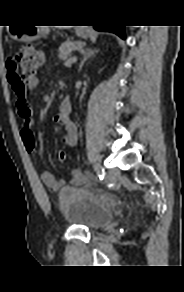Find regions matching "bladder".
I'll return each mask as SVG.
<instances>
[{
    "label": "bladder",
    "mask_w": 184,
    "mask_h": 292,
    "mask_svg": "<svg viewBox=\"0 0 184 292\" xmlns=\"http://www.w3.org/2000/svg\"><path fill=\"white\" fill-rule=\"evenodd\" d=\"M58 207L68 222L98 230L112 221L116 202L89 188L66 187L59 194Z\"/></svg>",
    "instance_id": "bladder-1"
}]
</instances>
